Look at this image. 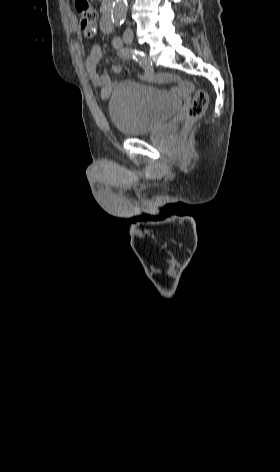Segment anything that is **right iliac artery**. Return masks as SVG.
<instances>
[{"mask_svg":"<svg viewBox=\"0 0 280 472\" xmlns=\"http://www.w3.org/2000/svg\"><path fill=\"white\" fill-rule=\"evenodd\" d=\"M118 55L124 59L132 58L144 69L146 79L150 80L153 78L152 61L143 52L131 48H120Z\"/></svg>","mask_w":280,"mask_h":472,"instance_id":"obj_1","label":"right iliac artery"}]
</instances>
